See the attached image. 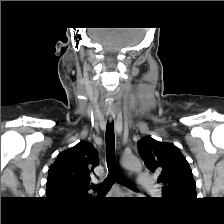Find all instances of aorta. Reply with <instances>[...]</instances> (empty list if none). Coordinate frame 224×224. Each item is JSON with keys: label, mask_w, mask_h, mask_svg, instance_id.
Segmentation results:
<instances>
[{"label": "aorta", "mask_w": 224, "mask_h": 224, "mask_svg": "<svg viewBox=\"0 0 224 224\" xmlns=\"http://www.w3.org/2000/svg\"><path fill=\"white\" fill-rule=\"evenodd\" d=\"M123 166L131 171L140 172L142 170L141 161L135 156H125L122 159ZM138 196L142 197L143 194L139 193Z\"/></svg>", "instance_id": "obj_1"}]
</instances>
